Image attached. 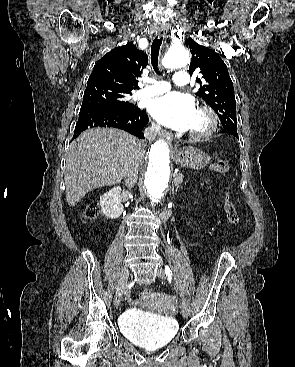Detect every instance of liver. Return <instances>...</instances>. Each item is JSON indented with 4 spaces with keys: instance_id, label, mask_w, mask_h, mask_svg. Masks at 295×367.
<instances>
[{
    "instance_id": "obj_1",
    "label": "liver",
    "mask_w": 295,
    "mask_h": 367,
    "mask_svg": "<svg viewBox=\"0 0 295 367\" xmlns=\"http://www.w3.org/2000/svg\"><path fill=\"white\" fill-rule=\"evenodd\" d=\"M144 145L118 129L92 128L69 147L65 167L66 200L75 206L88 192L115 185L133 163L144 157Z\"/></svg>"
}]
</instances>
